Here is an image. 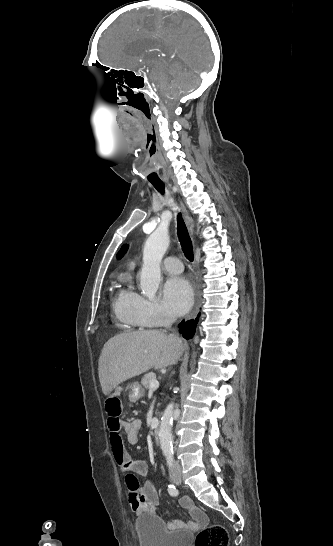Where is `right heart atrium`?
I'll return each mask as SVG.
<instances>
[{
    "mask_svg": "<svg viewBox=\"0 0 333 546\" xmlns=\"http://www.w3.org/2000/svg\"><path fill=\"white\" fill-rule=\"evenodd\" d=\"M133 312L139 321L146 326H156L169 320L163 307L155 301L136 294L133 301Z\"/></svg>",
    "mask_w": 333,
    "mask_h": 546,
    "instance_id": "d8ad5b80",
    "label": "right heart atrium"
}]
</instances>
